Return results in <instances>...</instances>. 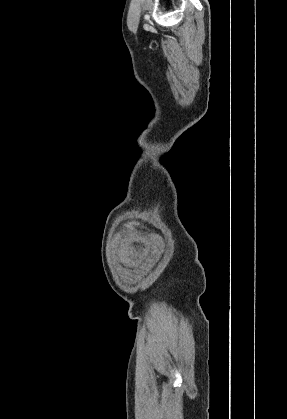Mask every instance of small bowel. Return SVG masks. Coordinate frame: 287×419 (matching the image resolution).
Segmentation results:
<instances>
[{
	"instance_id": "c3829d8e",
	"label": "small bowel",
	"mask_w": 287,
	"mask_h": 419,
	"mask_svg": "<svg viewBox=\"0 0 287 419\" xmlns=\"http://www.w3.org/2000/svg\"><path fill=\"white\" fill-rule=\"evenodd\" d=\"M130 251L127 249H120L119 250V256L123 260V262L127 266H132L134 264L133 260L129 257Z\"/></svg>"
}]
</instances>
